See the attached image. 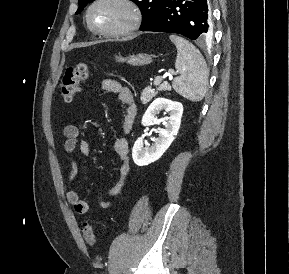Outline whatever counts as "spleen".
<instances>
[{
    "label": "spleen",
    "instance_id": "obj_1",
    "mask_svg": "<svg viewBox=\"0 0 289 274\" xmlns=\"http://www.w3.org/2000/svg\"><path fill=\"white\" fill-rule=\"evenodd\" d=\"M169 38L177 48L175 68L180 72L172 82L174 90L191 101L202 100L207 91L209 73L203 56L186 39L178 35Z\"/></svg>",
    "mask_w": 289,
    "mask_h": 274
}]
</instances>
